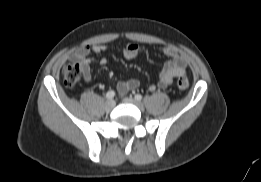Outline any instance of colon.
I'll return each instance as SVG.
<instances>
[{
    "label": "colon",
    "instance_id": "colon-1",
    "mask_svg": "<svg viewBox=\"0 0 261 182\" xmlns=\"http://www.w3.org/2000/svg\"><path fill=\"white\" fill-rule=\"evenodd\" d=\"M63 82L67 87H74L81 78V68L77 63H68L62 70ZM177 86L181 90H185L189 86V82L185 77H179Z\"/></svg>",
    "mask_w": 261,
    "mask_h": 182
}]
</instances>
